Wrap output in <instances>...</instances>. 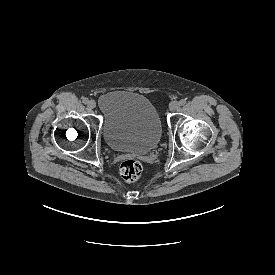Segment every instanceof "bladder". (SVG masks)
Masks as SVG:
<instances>
[{
    "mask_svg": "<svg viewBox=\"0 0 275 275\" xmlns=\"http://www.w3.org/2000/svg\"><path fill=\"white\" fill-rule=\"evenodd\" d=\"M106 144L116 151L146 153L158 144L162 127L154 106L143 95L113 91L99 97Z\"/></svg>",
    "mask_w": 275,
    "mask_h": 275,
    "instance_id": "obj_1",
    "label": "bladder"
}]
</instances>
